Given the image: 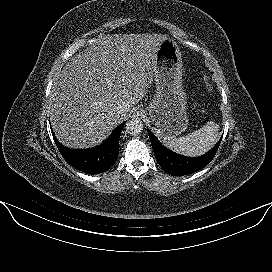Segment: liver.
Here are the masks:
<instances>
[{"label": "liver", "mask_w": 272, "mask_h": 272, "mask_svg": "<svg viewBox=\"0 0 272 272\" xmlns=\"http://www.w3.org/2000/svg\"><path fill=\"white\" fill-rule=\"evenodd\" d=\"M162 34L100 35L73 56L54 82L50 120L57 139L67 147L101 144L125 115L115 107L136 105L148 92Z\"/></svg>", "instance_id": "obj_1"}]
</instances>
